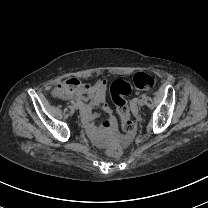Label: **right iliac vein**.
I'll return each mask as SVG.
<instances>
[{"instance_id": "obj_1", "label": "right iliac vein", "mask_w": 208, "mask_h": 208, "mask_svg": "<svg viewBox=\"0 0 208 208\" xmlns=\"http://www.w3.org/2000/svg\"><path fill=\"white\" fill-rule=\"evenodd\" d=\"M74 108L77 110V109H79V105L76 103V104H74Z\"/></svg>"}]
</instances>
